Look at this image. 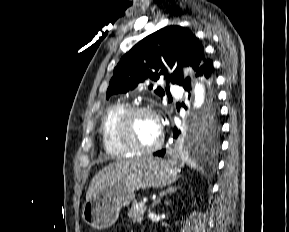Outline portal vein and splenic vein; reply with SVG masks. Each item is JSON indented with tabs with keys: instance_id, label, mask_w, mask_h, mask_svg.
Listing matches in <instances>:
<instances>
[{
	"instance_id": "1",
	"label": "portal vein and splenic vein",
	"mask_w": 289,
	"mask_h": 232,
	"mask_svg": "<svg viewBox=\"0 0 289 232\" xmlns=\"http://www.w3.org/2000/svg\"><path fill=\"white\" fill-rule=\"evenodd\" d=\"M147 201H148V198H143V203H147Z\"/></svg>"
}]
</instances>
